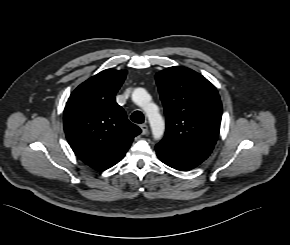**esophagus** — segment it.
Returning <instances> with one entry per match:
<instances>
[{
  "instance_id": "esophagus-1",
  "label": "esophagus",
  "mask_w": 290,
  "mask_h": 245,
  "mask_svg": "<svg viewBox=\"0 0 290 245\" xmlns=\"http://www.w3.org/2000/svg\"><path fill=\"white\" fill-rule=\"evenodd\" d=\"M140 128L142 130V134L143 135L147 134V132H148V126H147V124H141L140 125Z\"/></svg>"
}]
</instances>
